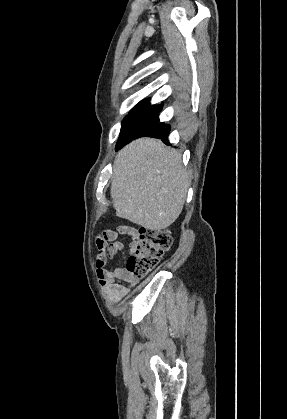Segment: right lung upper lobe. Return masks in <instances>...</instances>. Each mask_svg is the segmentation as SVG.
Returning <instances> with one entry per match:
<instances>
[{"instance_id":"obj_1","label":"right lung upper lobe","mask_w":287,"mask_h":419,"mask_svg":"<svg viewBox=\"0 0 287 419\" xmlns=\"http://www.w3.org/2000/svg\"><path fill=\"white\" fill-rule=\"evenodd\" d=\"M145 108V107H162L161 105H158V106H152V105H150V103H149V100H146V101H140L136 106H135V108Z\"/></svg>"}]
</instances>
